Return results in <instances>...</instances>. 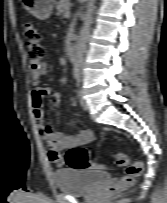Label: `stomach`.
I'll return each mask as SVG.
<instances>
[{
    "label": "stomach",
    "mask_w": 167,
    "mask_h": 203,
    "mask_svg": "<svg viewBox=\"0 0 167 203\" xmlns=\"http://www.w3.org/2000/svg\"><path fill=\"white\" fill-rule=\"evenodd\" d=\"M55 0H22L23 8L40 20L48 19Z\"/></svg>",
    "instance_id": "0dacf381"
}]
</instances>
